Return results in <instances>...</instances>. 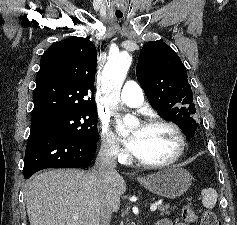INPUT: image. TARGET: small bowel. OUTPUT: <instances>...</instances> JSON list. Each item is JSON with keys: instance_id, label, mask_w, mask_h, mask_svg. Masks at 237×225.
<instances>
[{"instance_id": "1", "label": "small bowel", "mask_w": 237, "mask_h": 225, "mask_svg": "<svg viewBox=\"0 0 237 225\" xmlns=\"http://www.w3.org/2000/svg\"><path fill=\"white\" fill-rule=\"evenodd\" d=\"M157 225H174L170 219H161L158 221ZM175 225H187L186 223H177Z\"/></svg>"}]
</instances>
